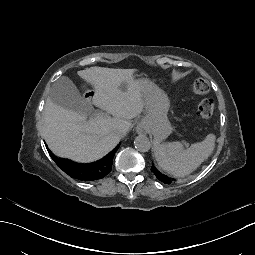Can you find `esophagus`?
<instances>
[{
    "instance_id": "34e87169",
    "label": "esophagus",
    "mask_w": 255,
    "mask_h": 255,
    "mask_svg": "<svg viewBox=\"0 0 255 255\" xmlns=\"http://www.w3.org/2000/svg\"><path fill=\"white\" fill-rule=\"evenodd\" d=\"M137 132L139 134H147L148 133V127L145 124H139L137 127Z\"/></svg>"
}]
</instances>
